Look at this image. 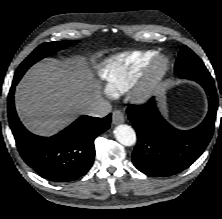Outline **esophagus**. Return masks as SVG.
<instances>
[{"label":"esophagus","instance_id":"34e87169","mask_svg":"<svg viewBox=\"0 0 222 219\" xmlns=\"http://www.w3.org/2000/svg\"><path fill=\"white\" fill-rule=\"evenodd\" d=\"M125 121L124 114L120 110H115L112 114V123L117 125Z\"/></svg>","mask_w":222,"mask_h":219}]
</instances>
